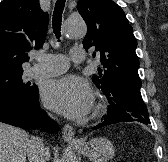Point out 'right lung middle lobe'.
Returning a JSON list of instances; mask_svg holds the SVG:
<instances>
[{"mask_svg":"<svg viewBox=\"0 0 168 162\" xmlns=\"http://www.w3.org/2000/svg\"><path fill=\"white\" fill-rule=\"evenodd\" d=\"M23 72L0 75V95H15L22 98L31 96L36 86H30L22 81Z\"/></svg>","mask_w":168,"mask_h":162,"instance_id":"1","label":"right lung middle lobe"}]
</instances>
